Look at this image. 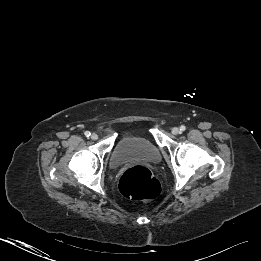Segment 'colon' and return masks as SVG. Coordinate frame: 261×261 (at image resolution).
Listing matches in <instances>:
<instances>
[{
	"label": "colon",
	"mask_w": 261,
	"mask_h": 261,
	"mask_svg": "<svg viewBox=\"0 0 261 261\" xmlns=\"http://www.w3.org/2000/svg\"><path fill=\"white\" fill-rule=\"evenodd\" d=\"M119 190L129 199L149 201L160 194L161 185L148 168L136 166L123 173Z\"/></svg>",
	"instance_id": "obj_1"
}]
</instances>
